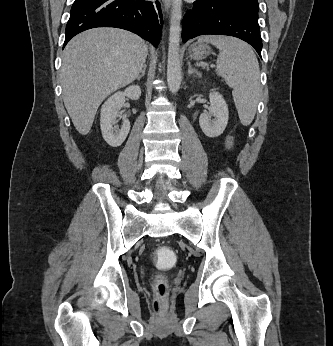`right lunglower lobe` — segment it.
Wrapping results in <instances>:
<instances>
[{"instance_id":"obj_1","label":"right lung lower lobe","mask_w":333,"mask_h":346,"mask_svg":"<svg viewBox=\"0 0 333 346\" xmlns=\"http://www.w3.org/2000/svg\"><path fill=\"white\" fill-rule=\"evenodd\" d=\"M96 27L129 30L157 46L162 27L160 3L145 0H75L66 25L63 47L76 34Z\"/></svg>"}]
</instances>
